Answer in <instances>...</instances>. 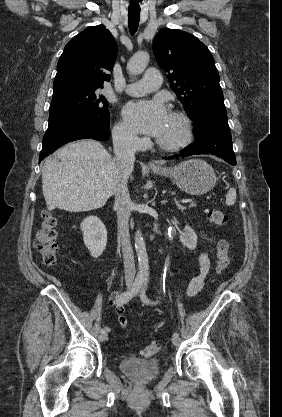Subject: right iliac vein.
Masks as SVG:
<instances>
[{"mask_svg": "<svg viewBox=\"0 0 282 417\" xmlns=\"http://www.w3.org/2000/svg\"><path fill=\"white\" fill-rule=\"evenodd\" d=\"M107 338H108V335H107L106 332L101 333L100 336H99L100 341H106Z\"/></svg>", "mask_w": 282, "mask_h": 417, "instance_id": "right-iliac-vein-1", "label": "right iliac vein"}]
</instances>
